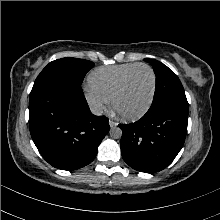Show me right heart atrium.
<instances>
[{
	"label": "right heart atrium",
	"mask_w": 220,
	"mask_h": 220,
	"mask_svg": "<svg viewBox=\"0 0 220 220\" xmlns=\"http://www.w3.org/2000/svg\"><path fill=\"white\" fill-rule=\"evenodd\" d=\"M84 96L92 111L97 114L102 113L109 106V99L97 93L90 87L86 88Z\"/></svg>",
	"instance_id": "1"
}]
</instances>
